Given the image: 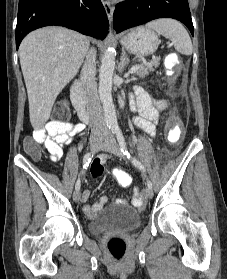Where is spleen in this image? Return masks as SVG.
Wrapping results in <instances>:
<instances>
[{"label":"spleen","mask_w":227,"mask_h":279,"mask_svg":"<svg viewBox=\"0 0 227 279\" xmlns=\"http://www.w3.org/2000/svg\"><path fill=\"white\" fill-rule=\"evenodd\" d=\"M149 29L170 39L176 51L184 55L192 54V42L186 29L181 23L173 19H158L146 24Z\"/></svg>","instance_id":"1"}]
</instances>
